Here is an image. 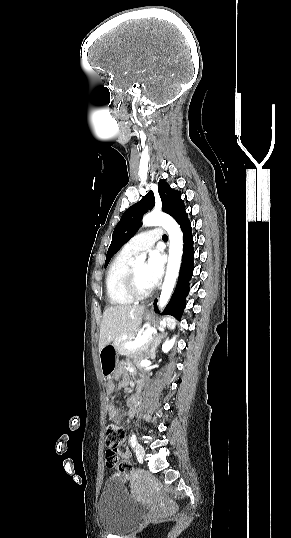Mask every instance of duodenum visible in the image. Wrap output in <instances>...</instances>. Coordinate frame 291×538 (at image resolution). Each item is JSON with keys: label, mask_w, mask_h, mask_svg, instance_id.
Returning a JSON list of instances; mask_svg holds the SVG:
<instances>
[{"label": "duodenum", "mask_w": 291, "mask_h": 538, "mask_svg": "<svg viewBox=\"0 0 291 538\" xmlns=\"http://www.w3.org/2000/svg\"><path fill=\"white\" fill-rule=\"evenodd\" d=\"M141 378H144V373H139V372H136L134 374V378H133V381L136 383V386L138 388H141L143 386V383H142V379Z\"/></svg>", "instance_id": "duodenum-1"}]
</instances>
